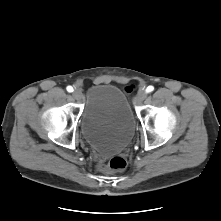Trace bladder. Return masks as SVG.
<instances>
[{"instance_id": "1", "label": "bladder", "mask_w": 221, "mask_h": 221, "mask_svg": "<svg viewBox=\"0 0 221 221\" xmlns=\"http://www.w3.org/2000/svg\"><path fill=\"white\" fill-rule=\"evenodd\" d=\"M79 124L86 143L102 155L123 151L135 130L126 95L111 84H95L87 90Z\"/></svg>"}]
</instances>
